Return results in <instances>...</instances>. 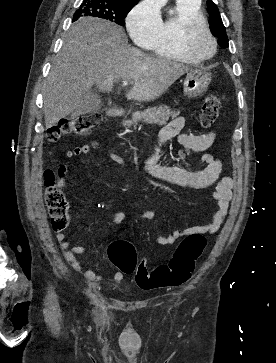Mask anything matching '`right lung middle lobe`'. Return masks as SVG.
I'll list each match as a JSON object with an SVG mask.
<instances>
[{
    "label": "right lung middle lobe",
    "instance_id": "1",
    "mask_svg": "<svg viewBox=\"0 0 276 363\" xmlns=\"http://www.w3.org/2000/svg\"><path fill=\"white\" fill-rule=\"evenodd\" d=\"M135 3L115 0H84L74 13L73 21L81 17H97L124 26V18Z\"/></svg>",
    "mask_w": 276,
    "mask_h": 363
}]
</instances>
